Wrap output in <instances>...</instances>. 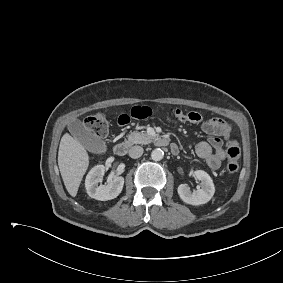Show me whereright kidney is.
I'll return each mask as SVG.
<instances>
[{"label":"right kidney","mask_w":283,"mask_h":283,"mask_svg":"<svg viewBox=\"0 0 283 283\" xmlns=\"http://www.w3.org/2000/svg\"><path fill=\"white\" fill-rule=\"evenodd\" d=\"M106 172L104 165L94 166L86 176L85 187L87 194L96 200L106 201L116 198L122 191L124 178L115 177L107 185H98Z\"/></svg>","instance_id":"1"}]
</instances>
